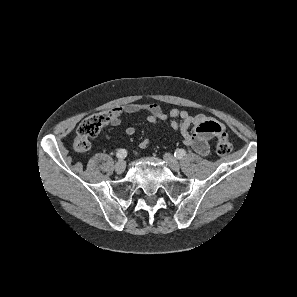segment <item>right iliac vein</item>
I'll return each mask as SVG.
<instances>
[{
	"label": "right iliac vein",
	"instance_id": "63e3f726",
	"mask_svg": "<svg viewBox=\"0 0 297 297\" xmlns=\"http://www.w3.org/2000/svg\"><path fill=\"white\" fill-rule=\"evenodd\" d=\"M114 169L115 171L118 173V174H121L124 172L125 170V162L123 160H119L115 166H114Z\"/></svg>",
	"mask_w": 297,
	"mask_h": 297
}]
</instances>
